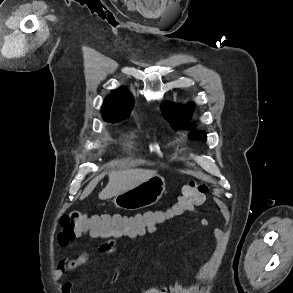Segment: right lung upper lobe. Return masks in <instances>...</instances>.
<instances>
[{
	"label": "right lung upper lobe",
	"mask_w": 293,
	"mask_h": 293,
	"mask_svg": "<svg viewBox=\"0 0 293 293\" xmlns=\"http://www.w3.org/2000/svg\"><path fill=\"white\" fill-rule=\"evenodd\" d=\"M133 108V99L126 88L114 90L102 107L104 119L129 116Z\"/></svg>",
	"instance_id": "right-lung-upper-lobe-1"
}]
</instances>
